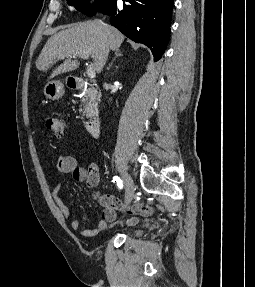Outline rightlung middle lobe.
Wrapping results in <instances>:
<instances>
[{"label":"right lung middle lobe","instance_id":"1","mask_svg":"<svg viewBox=\"0 0 255 287\" xmlns=\"http://www.w3.org/2000/svg\"><path fill=\"white\" fill-rule=\"evenodd\" d=\"M69 5L76 6V9L85 13L87 16H92L95 9L108 14L115 6L116 0H97L92 6L88 4L89 0H67Z\"/></svg>","mask_w":255,"mask_h":287}]
</instances>
